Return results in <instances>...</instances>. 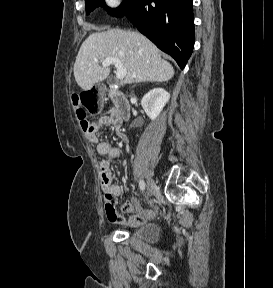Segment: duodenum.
Instances as JSON below:
<instances>
[{"label":"duodenum","mask_w":273,"mask_h":288,"mask_svg":"<svg viewBox=\"0 0 273 288\" xmlns=\"http://www.w3.org/2000/svg\"><path fill=\"white\" fill-rule=\"evenodd\" d=\"M107 95L114 104L116 115L121 121H126L130 117V103L126 96L116 87L107 89Z\"/></svg>","instance_id":"410a0bca"}]
</instances>
